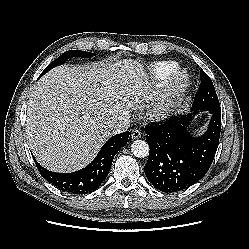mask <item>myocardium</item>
Listing matches in <instances>:
<instances>
[{"label": "myocardium", "mask_w": 249, "mask_h": 249, "mask_svg": "<svg viewBox=\"0 0 249 249\" xmlns=\"http://www.w3.org/2000/svg\"><path fill=\"white\" fill-rule=\"evenodd\" d=\"M191 84L187 70L177 68L164 81L162 91L153 104L151 114L155 119H164L174 112L183 101Z\"/></svg>", "instance_id": "obj_1"}]
</instances>
